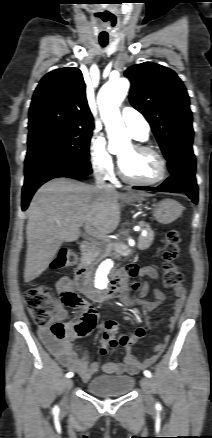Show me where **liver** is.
Instances as JSON below:
<instances>
[{"label": "liver", "instance_id": "liver-1", "mask_svg": "<svg viewBox=\"0 0 212 438\" xmlns=\"http://www.w3.org/2000/svg\"><path fill=\"white\" fill-rule=\"evenodd\" d=\"M138 196L150 194L140 191ZM122 197L115 190H99L67 178L42 185L27 210L25 282L36 279L49 267L64 241L77 240L82 226H90L102 235L114 231Z\"/></svg>", "mask_w": 212, "mask_h": 438}]
</instances>
